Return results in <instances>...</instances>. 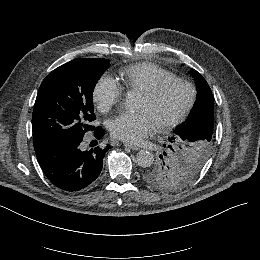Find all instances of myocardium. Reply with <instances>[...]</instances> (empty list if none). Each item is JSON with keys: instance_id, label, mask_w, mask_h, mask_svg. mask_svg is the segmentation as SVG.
Here are the masks:
<instances>
[{"instance_id": "myocardium-1", "label": "myocardium", "mask_w": 260, "mask_h": 260, "mask_svg": "<svg viewBox=\"0 0 260 260\" xmlns=\"http://www.w3.org/2000/svg\"><path fill=\"white\" fill-rule=\"evenodd\" d=\"M172 84H181L185 86L189 90V99L186 106L182 109L181 112H179L173 118L156 126L157 129L160 131L167 130L177 126L190 114L196 103L197 89L193 83L182 77H171L163 79L159 81L158 84H156L154 87L141 92L146 97L150 99H155L162 95L166 91V89Z\"/></svg>"}]
</instances>
